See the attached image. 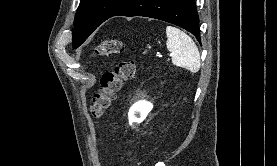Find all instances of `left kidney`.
Wrapping results in <instances>:
<instances>
[{
  "mask_svg": "<svg viewBox=\"0 0 277 166\" xmlns=\"http://www.w3.org/2000/svg\"><path fill=\"white\" fill-rule=\"evenodd\" d=\"M153 105L145 100L134 103L128 112V119L131 125H137L145 120Z\"/></svg>",
  "mask_w": 277,
  "mask_h": 166,
  "instance_id": "5707ae66",
  "label": "left kidney"
}]
</instances>
